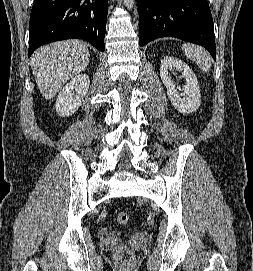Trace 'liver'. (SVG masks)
<instances>
[{
  "instance_id": "liver-1",
  "label": "liver",
  "mask_w": 253,
  "mask_h": 271,
  "mask_svg": "<svg viewBox=\"0 0 253 271\" xmlns=\"http://www.w3.org/2000/svg\"><path fill=\"white\" fill-rule=\"evenodd\" d=\"M90 53L78 40L61 41L38 49L31 58V67L42 96L53 98L73 76L89 63Z\"/></svg>"
}]
</instances>
